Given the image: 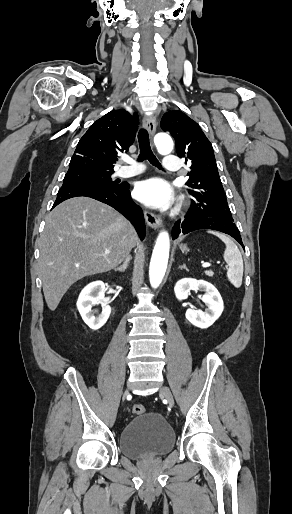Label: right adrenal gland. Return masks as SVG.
<instances>
[{"mask_svg":"<svg viewBox=\"0 0 292 514\" xmlns=\"http://www.w3.org/2000/svg\"><path fill=\"white\" fill-rule=\"evenodd\" d=\"M132 258L131 256H127L125 262H123V266H119V268H115V270H119V272H125L127 270Z\"/></svg>","mask_w":292,"mask_h":514,"instance_id":"right-adrenal-gland-1","label":"right adrenal gland"}]
</instances>
